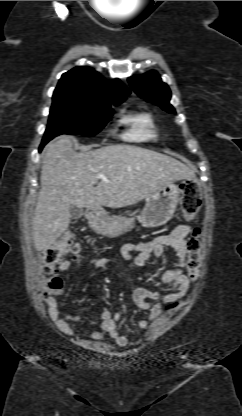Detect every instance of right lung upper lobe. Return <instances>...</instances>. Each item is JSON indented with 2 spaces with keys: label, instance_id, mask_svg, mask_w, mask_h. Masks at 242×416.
Wrapping results in <instances>:
<instances>
[{
  "label": "right lung upper lobe",
  "instance_id": "right-lung-upper-lobe-1",
  "mask_svg": "<svg viewBox=\"0 0 242 416\" xmlns=\"http://www.w3.org/2000/svg\"><path fill=\"white\" fill-rule=\"evenodd\" d=\"M130 90L119 80L106 81L90 67H76L64 73L53 100L122 102Z\"/></svg>",
  "mask_w": 242,
  "mask_h": 416
}]
</instances>
